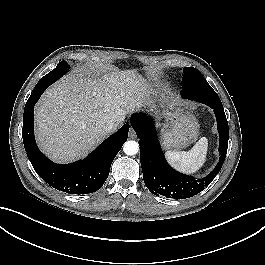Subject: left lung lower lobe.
Returning a JSON list of instances; mask_svg holds the SVG:
<instances>
[{
	"mask_svg": "<svg viewBox=\"0 0 265 265\" xmlns=\"http://www.w3.org/2000/svg\"><path fill=\"white\" fill-rule=\"evenodd\" d=\"M182 97L203 103L214 109L220 135V160L209 175L202 179L182 174L174 170L165 160L161 151L155 125L151 117L137 113L131 117V125L140 138V161L143 180L151 193L174 199H186L201 192L219 173L228 147L229 128L222 103L211 86H197L188 90Z\"/></svg>",
	"mask_w": 265,
	"mask_h": 265,
	"instance_id": "0a47b994",
	"label": "left lung lower lobe"
}]
</instances>
